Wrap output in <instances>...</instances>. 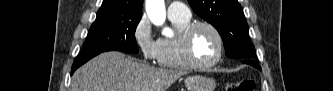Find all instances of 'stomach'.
Masks as SVG:
<instances>
[{
  "instance_id": "1",
  "label": "stomach",
  "mask_w": 333,
  "mask_h": 91,
  "mask_svg": "<svg viewBox=\"0 0 333 91\" xmlns=\"http://www.w3.org/2000/svg\"><path fill=\"white\" fill-rule=\"evenodd\" d=\"M184 82L187 91H214L216 87L214 79L202 75L189 76Z\"/></svg>"
}]
</instances>
